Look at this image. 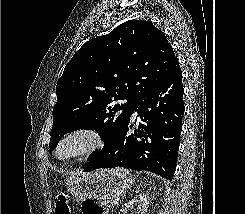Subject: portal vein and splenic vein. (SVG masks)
<instances>
[{"label": "portal vein and splenic vein", "instance_id": "1", "mask_svg": "<svg viewBox=\"0 0 245 214\" xmlns=\"http://www.w3.org/2000/svg\"><path fill=\"white\" fill-rule=\"evenodd\" d=\"M113 204H114V205H118V201H114Z\"/></svg>", "mask_w": 245, "mask_h": 214}]
</instances>
